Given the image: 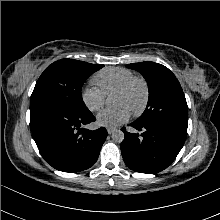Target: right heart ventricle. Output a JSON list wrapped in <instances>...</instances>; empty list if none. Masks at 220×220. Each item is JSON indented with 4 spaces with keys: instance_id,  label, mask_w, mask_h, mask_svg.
<instances>
[{
    "instance_id": "right-heart-ventricle-1",
    "label": "right heart ventricle",
    "mask_w": 220,
    "mask_h": 220,
    "mask_svg": "<svg viewBox=\"0 0 220 220\" xmlns=\"http://www.w3.org/2000/svg\"><path fill=\"white\" fill-rule=\"evenodd\" d=\"M134 77V73L123 67H108L97 72L93 82L105 96L113 94L125 82Z\"/></svg>"
}]
</instances>
